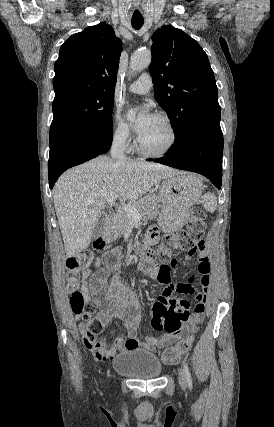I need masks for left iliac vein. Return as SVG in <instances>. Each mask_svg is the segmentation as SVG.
Masks as SVG:
<instances>
[{
	"instance_id": "1",
	"label": "left iliac vein",
	"mask_w": 274,
	"mask_h": 427,
	"mask_svg": "<svg viewBox=\"0 0 274 427\" xmlns=\"http://www.w3.org/2000/svg\"><path fill=\"white\" fill-rule=\"evenodd\" d=\"M178 380H179L180 386L183 389H186L187 379H186L184 370L181 368L178 369Z\"/></svg>"
}]
</instances>
